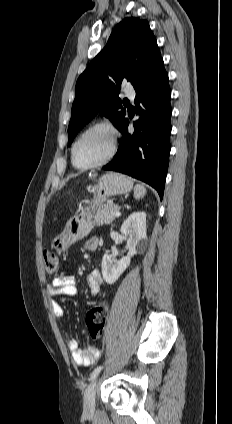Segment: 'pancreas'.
Returning a JSON list of instances; mask_svg holds the SVG:
<instances>
[{"mask_svg": "<svg viewBox=\"0 0 232 424\" xmlns=\"http://www.w3.org/2000/svg\"><path fill=\"white\" fill-rule=\"evenodd\" d=\"M116 210H118V207L113 204H106L99 208L94 215V224L97 226L111 224L115 219L112 213Z\"/></svg>", "mask_w": 232, "mask_h": 424, "instance_id": "1", "label": "pancreas"}]
</instances>
